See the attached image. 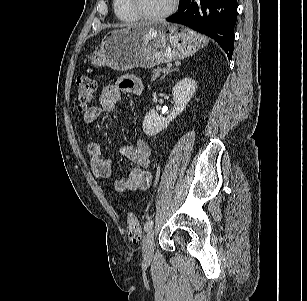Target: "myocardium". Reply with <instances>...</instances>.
I'll list each match as a JSON object with an SVG mask.
<instances>
[{"label":"myocardium","mask_w":307,"mask_h":301,"mask_svg":"<svg viewBox=\"0 0 307 301\" xmlns=\"http://www.w3.org/2000/svg\"><path fill=\"white\" fill-rule=\"evenodd\" d=\"M128 3L131 10L138 17V19L146 21H159L166 19L173 15L177 11L179 6V0H172L170 7L166 11L158 14H147L140 9L137 0H128Z\"/></svg>","instance_id":"f54148a6"}]
</instances>
